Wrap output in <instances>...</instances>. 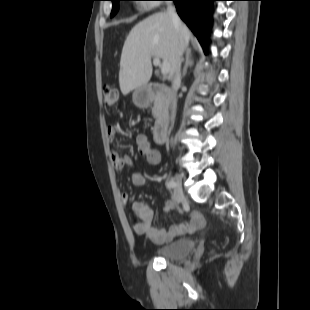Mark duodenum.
<instances>
[{
  "label": "duodenum",
  "mask_w": 310,
  "mask_h": 310,
  "mask_svg": "<svg viewBox=\"0 0 310 310\" xmlns=\"http://www.w3.org/2000/svg\"><path fill=\"white\" fill-rule=\"evenodd\" d=\"M172 96V91L159 83H151L147 92L143 93L144 104L153 101L158 103V116L153 130V139L157 144L164 142L171 124L170 103Z\"/></svg>",
  "instance_id": "duodenum-1"
}]
</instances>
